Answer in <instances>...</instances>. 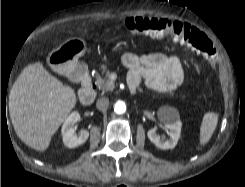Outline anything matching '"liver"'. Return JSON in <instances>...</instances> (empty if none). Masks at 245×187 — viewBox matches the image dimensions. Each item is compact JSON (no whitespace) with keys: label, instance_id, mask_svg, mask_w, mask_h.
Instances as JSON below:
<instances>
[{"label":"liver","instance_id":"1","mask_svg":"<svg viewBox=\"0 0 245 187\" xmlns=\"http://www.w3.org/2000/svg\"><path fill=\"white\" fill-rule=\"evenodd\" d=\"M75 91L51 75L41 62L23 69L9 94V113L17 136L45 151L76 104Z\"/></svg>","mask_w":245,"mask_h":187}]
</instances>
